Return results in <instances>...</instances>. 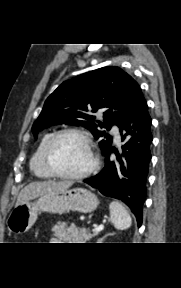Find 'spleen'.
<instances>
[{
  "label": "spleen",
  "mask_w": 181,
  "mask_h": 288,
  "mask_svg": "<svg viewBox=\"0 0 181 288\" xmlns=\"http://www.w3.org/2000/svg\"><path fill=\"white\" fill-rule=\"evenodd\" d=\"M110 220L114 227L118 230L128 229L132 224L130 214L125 207L118 201H113L109 205Z\"/></svg>",
  "instance_id": "obj_1"
}]
</instances>
